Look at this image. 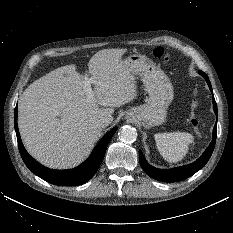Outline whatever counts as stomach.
<instances>
[{"mask_svg":"<svg viewBox=\"0 0 233 233\" xmlns=\"http://www.w3.org/2000/svg\"><path fill=\"white\" fill-rule=\"evenodd\" d=\"M124 61L129 65L131 72L141 78L148 94L147 102L128 110L126 118L128 120L134 118L145 128L163 124L174 97L173 86L169 78L144 55L133 54Z\"/></svg>","mask_w":233,"mask_h":233,"instance_id":"1","label":"stomach"}]
</instances>
